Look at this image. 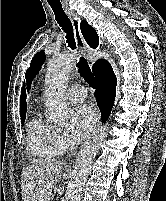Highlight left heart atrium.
<instances>
[{"label": "left heart atrium", "mask_w": 166, "mask_h": 201, "mask_svg": "<svg viewBox=\"0 0 166 201\" xmlns=\"http://www.w3.org/2000/svg\"><path fill=\"white\" fill-rule=\"evenodd\" d=\"M97 121L95 110L89 105H79L71 111L70 137L73 142L81 141Z\"/></svg>", "instance_id": "obj_1"}]
</instances>
